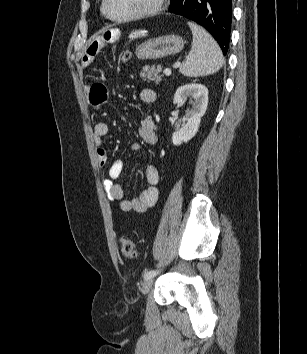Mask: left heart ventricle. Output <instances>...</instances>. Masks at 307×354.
Segmentation results:
<instances>
[{
	"label": "left heart ventricle",
	"mask_w": 307,
	"mask_h": 354,
	"mask_svg": "<svg viewBox=\"0 0 307 354\" xmlns=\"http://www.w3.org/2000/svg\"><path fill=\"white\" fill-rule=\"evenodd\" d=\"M155 0H109L114 15L127 16L149 8Z\"/></svg>",
	"instance_id": "obj_1"
}]
</instances>
